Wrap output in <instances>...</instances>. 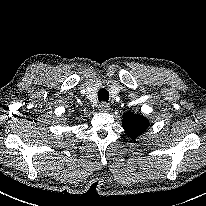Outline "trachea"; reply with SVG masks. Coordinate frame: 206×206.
I'll list each match as a JSON object with an SVG mask.
<instances>
[{"mask_svg":"<svg viewBox=\"0 0 206 206\" xmlns=\"http://www.w3.org/2000/svg\"><path fill=\"white\" fill-rule=\"evenodd\" d=\"M98 100L107 102L109 100V92L106 89L99 90L98 91Z\"/></svg>","mask_w":206,"mask_h":206,"instance_id":"obj_1","label":"trachea"}]
</instances>
